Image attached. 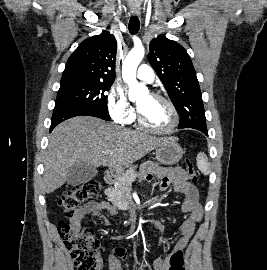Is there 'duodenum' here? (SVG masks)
<instances>
[{
	"mask_svg": "<svg viewBox=\"0 0 267 270\" xmlns=\"http://www.w3.org/2000/svg\"><path fill=\"white\" fill-rule=\"evenodd\" d=\"M114 177V171L112 169H107L104 173V180L106 182H109L113 179Z\"/></svg>",
	"mask_w": 267,
	"mask_h": 270,
	"instance_id": "1",
	"label": "duodenum"
}]
</instances>
